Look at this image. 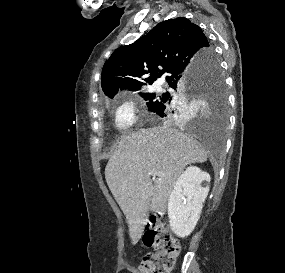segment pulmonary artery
Masks as SVG:
<instances>
[{
    "label": "pulmonary artery",
    "instance_id": "pulmonary-artery-1",
    "mask_svg": "<svg viewBox=\"0 0 285 273\" xmlns=\"http://www.w3.org/2000/svg\"><path fill=\"white\" fill-rule=\"evenodd\" d=\"M158 89L161 90V89H162V86H158Z\"/></svg>",
    "mask_w": 285,
    "mask_h": 273
}]
</instances>
